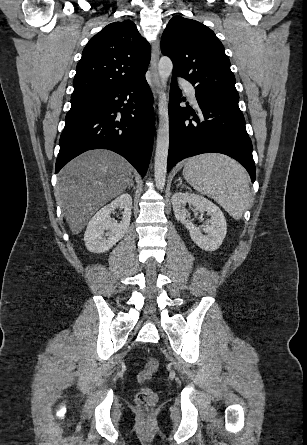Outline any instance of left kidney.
Here are the masks:
<instances>
[{"mask_svg": "<svg viewBox=\"0 0 307 445\" xmlns=\"http://www.w3.org/2000/svg\"><path fill=\"white\" fill-rule=\"evenodd\" d=\"M171 200L177 220H180V223L189 231L192 241L203 251L219 249L227 233L225 216L219 206H216L208 198H204L200 194H192V192H174ZM187 202L193 206V210H199V212L206 210L207 214H210L211 218L208 223L211 225L205 227L204 231L207 235H202V231L189 220L190 212L185 208Z\"/></svg>", "mask_w": 307, "mask_h": 445, "instance_id": "obj_1", "label": "left kidney"}]
</instances>
